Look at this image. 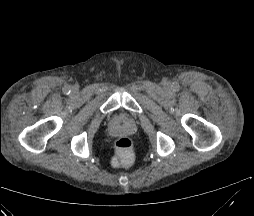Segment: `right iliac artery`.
<instances>
[{
	"instance_id": "1",
	"label": "right iliac artery",
	"mask_w": 254,
	"mask_h": 216,
	"mask_svg": "<svg viewBox=\"0 0 254 216\" xmlns=\"http://www.w3.org/2000/svg\"><path fill=\"white\" fill-rule=\"evenodd\" d=\"M63 92H64L65 94H69V93H70V88H69V87H65V88L63 89Z\"/></svg>"
}]
</instances>
